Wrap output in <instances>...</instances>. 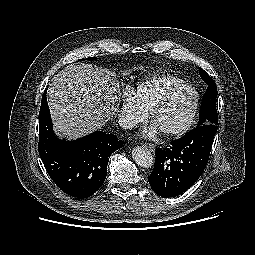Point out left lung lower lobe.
<instances>
[{"mask_svg": "<svg viewBox=\"0 0 255 255\" xmlns=\"http://www.w3.org/2000/svg\"><path fill=\"white\" fill-rule=\"evenodd\" d=\"M216 131L215 124H204L175 140L169 148H158L148 178L152 190L162 197H175L190 188L207 165Z\"/></svg>", "mask_w": 255, "mask_h": 255, "instance_id": "obj_1", "label": "left lung lower lobe"}]
</instances>
